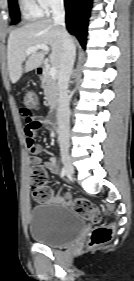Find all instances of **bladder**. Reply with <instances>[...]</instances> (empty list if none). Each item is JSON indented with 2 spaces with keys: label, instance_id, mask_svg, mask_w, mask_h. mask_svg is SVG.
I'll return each mask as SVG.
<instances>
[{
  "label": "bladder",
  "instance_id": "31cf9c89",
  "mask_svg": "<svg viewBox=\"0 0 134 281\" xmlns=\"http://www.w3.org/2000/svg\"><path fill=\"white\" fill-rule=\"evenodd\" d=\"M86 223L73 208L57 203L34 206L29 214V234L36 242L59 247L78 238Z\"/></svg>",
  "mask_w": 134,
  "mask_h": 281
}]
</instances>
